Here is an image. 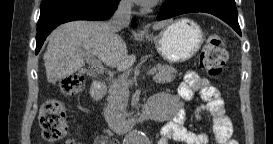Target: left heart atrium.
<instances>
[{
	"label": "left heart atrium",
	"mask_w": 273,
	"mask_h": 144,
	"mask_svg": "<svg viewBox=\"0 0 273 144\" xmlns=\"http://www.w3.org/2000/svg\"><path fill=\"white\" fill-rule=\"evenodd\" d=\"M136 1L144 6H153L156 3V0H136Z\"/></svg>",
	"instance_id": "obj_1"
}]
</instances>
